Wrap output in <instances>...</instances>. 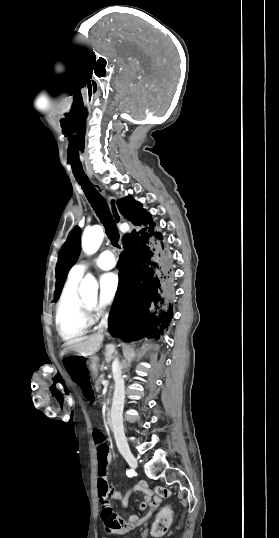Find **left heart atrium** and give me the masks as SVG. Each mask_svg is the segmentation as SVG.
I'll use <instances>...</instances> for the list:
<instances>
[{
	"instance_id": "obj_1",
	"label": "left heart atrium",
	"mask_w": 279,
	"mask_h": 538,
	"mask_svg": "<svg viewBox=\"0 0 279 538\" xmlns=\"http://www.w3.org/2000/svg\"><path fill=\"white\" fill-rule=\"evenodd\" d=\"M100 283L102 300L105 302L112 301L119 289V275L116 272L105 273L102 275Z\"/></svg>"
}]
</instances>
